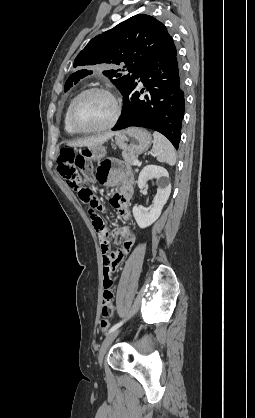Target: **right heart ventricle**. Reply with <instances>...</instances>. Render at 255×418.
I'll use <instances>...</instances> for the list:
<instances>
[{
	"mask_svg": "<svg viewBox=\"0 0 255 418\" xmlns=\"http://www.w3.org/2000/svg\"><path fill=\"white\" fill-rule=\"evenodd\" d=\"M76 97V95L69 101V103H68V105H67V107H66V109H65V112H64V119H63V121H64V129H65V131L68 133V134H71V135H73V134H76V133H78V132H76L71 126H70V124H69V122H68V113H69V109H70V106H71V104H72V102H73V100H74V98Z\"/></svg>",
	"mask_w": 255,
	"mask_h": 418,
	"instance_id": "right-heart-ventricle-1",
	"label": "right heart ventricle"
}]
</instances>
